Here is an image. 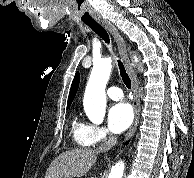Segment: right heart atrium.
<instances>
[{
  "label": "right heart atrium",
  "instance_id": "right-heart-atrium-1",
  "mask_svg": "<svg viewBox=\"0 0 194 178\" xmlns=\"http://www.w3.org/2000/svg\"><path fill=\"white\" fill-rule=\"evenodd\" d=\"M112 139V135L105 127L93 124L88 125L86 141L89 146H96L102 143H107Z\"/></svg>",
  "mask_w": 194,
  "mask_h": 178
}]
</instances>
